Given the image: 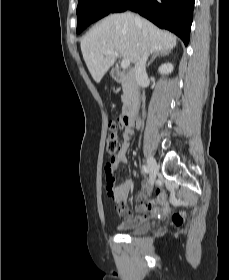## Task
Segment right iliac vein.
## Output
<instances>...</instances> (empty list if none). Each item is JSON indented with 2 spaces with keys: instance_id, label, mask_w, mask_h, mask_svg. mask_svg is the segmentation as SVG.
Wrapping results in <instances>:
<instances>
[{
  "instance_id": "63e3f726",
  "label": "right iliac vein",
  "mask_w": 229,
  "mask_h": 280,
  "mask_svg": "<svg viewBox=\"0 0 229 280\" xmlns=\"http://www.w3.org/2000/svg\"><path fill=\"white\" fill-rule=\"evenodd\" d=\"M147 163H148V168L150 171V182H151V185H154L155 180H156V175L158 173L159 168H158L156 161L151 156L148 158Z\"/></svg>"
}]
</instances>
